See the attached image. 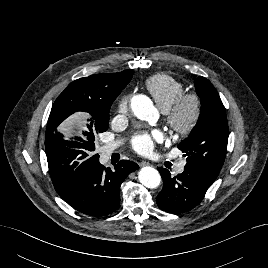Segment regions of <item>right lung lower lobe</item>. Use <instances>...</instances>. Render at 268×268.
Instances as JSON below:
<instances>
[{"label": "right lung lower lobe", "mask_w": 268, "mask_h": 268, "mask_svg": "<svg viewBox=\"0 0 268 268\" xmlns=\"http://www.w3.org/2000/svg\"><path fill=\"white\" fill-rule=\"evenodd\" d=\"M139 166L121 160L115 170L94 162L62 198L77 211L90 216H104L120 205V186Z\"/></svg>", "instance_id": "1"}]
</instances>
